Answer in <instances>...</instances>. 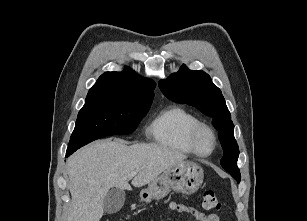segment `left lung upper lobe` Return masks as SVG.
Returning <instances> with one entry per match:
<instances>
[{"mask_svg":"<svg viewBox=\"0 0 307 221\" xmlns=\"http://www.w3.org/2000/svg\"><path fill=\"white\" fill-rule=\"evenodd\" d=\"M159 87L169 99L195 106L207 116L213 117L224 150L221 165L239 183V148L234 138V125L225 99L220 89L212 83L210 76L201 70H188L182 65L177 73L166 80H160Z\"/></svg>","mask_w":307,"mask_h":221,"instance_id":"obj_1","label":"left lung upper lobe"}]
</instances>
